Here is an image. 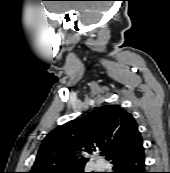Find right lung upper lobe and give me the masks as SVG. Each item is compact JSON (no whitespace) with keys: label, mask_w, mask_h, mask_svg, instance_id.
<instances>
[{"label":"right lung upper lobe","mask_w":170,"mask_h":173,"mask_svg":"<svg viewBox=\"0 0 170 173\" xmlns=\"http://www.w3.org/2000/svg\"><path fill=\"white\" fill-rule=\"evenodd\" d=\"M133 116L119 105L97 107L87 116L71 120L43 140L30 173H72L82 170L83 152L108 150L107 160L122 156L142 144Z\"/></svg>","instance_id":"cb5924a9"}]
</instances>
